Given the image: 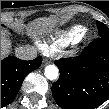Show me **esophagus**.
<instances>
[{
    "instance_id": "1",
    "label": "esophagus",
    "mask_w": 109,
    "mask_h": 109,
    "mask_svg": "<svg viewBox=\"0 0 109 109\" xmlns=\"http://www.w3.org/2000/svg\"><path fill=\"white\" fill-rule=\"evenodd\" d=\"M50 63V60L49 59H47V58H44L43 59V66H46V65H48Z\"/></svg>"
}]
</instances>
